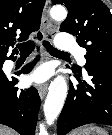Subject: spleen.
I'll list each match as a JSON object with an SVG mask.
<instances>
[{
    "mask_svg": "<svg viewBox=\"0 0 112 135\" xmlns=\"http://www.w3.org/2000/svg\"><path fill=\"white\" fill-rule=\"evenodd\" d=\"M77 134H78L77 132L72 133V135H77Z\"/></svg>",
    "mask_w": 112,
    "mask_h": 135,
    "instance_id": "1",
    "label": "spleen"
}]
</instances>
